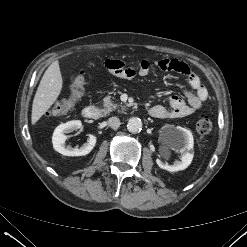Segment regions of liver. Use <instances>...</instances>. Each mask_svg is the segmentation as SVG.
<instances>
[{"label":"liver","mask_w":247,"mask_h":247,"mask_svg":"<svg viewBox=\"0 0 247 247\" xmlns=\"http://www.w3.org/2000/svg\"><path fill=\"white\" fill-rule=\"evenodd\" d=\"M62 75L58 61L45 71L32 104L31 123L34 125L55 103L62 90Z\"/></svg>","instance_id":"1"}]
</instances>
